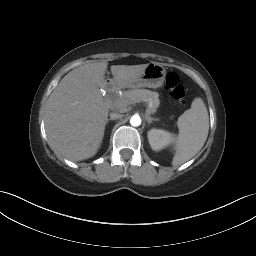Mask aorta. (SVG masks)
Returning a JSON list of instances; mask_svg holds the SVG:
<instances>
[{"mask_svg": "<svg viewBox=\"0 0 256 256\" xmlns=\"http://www.w3.org/2000/svg\"><path fill=\"white\" fill-rule=\"evenodd\" d=\"M130 124L134 127L141 125V118L139 115H133L130 119Z\"/></svg>", "mask_w": 256, "mask_h": 256, "instance_id": "aorta-1", "label": "aorta"}]
</instances>
